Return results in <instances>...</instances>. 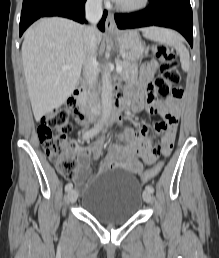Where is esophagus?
I'll list each match as a JSON object with an SVG mask.
<instances>
[{"label":"esophagus","mask_w":219,"mask_h":258,"mask_svg":"<svg viewBox=\"0 0 219 258\" xmlns=\"http://www.w3.org/2000/svg\"><path fill=\"white\" fill-rule=\"evenodd\" d=\"M106 31L108 33H116L118 32V28H117V25L115 23V20H114V15L112 13H109L107 18H106Z\"/></svg>","instance_id":"1"}]
</instances>
